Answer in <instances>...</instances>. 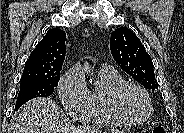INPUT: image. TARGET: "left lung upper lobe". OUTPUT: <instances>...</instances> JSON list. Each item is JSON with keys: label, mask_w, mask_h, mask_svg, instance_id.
Returning <instances> with one entry per match:
<instances>
[{"label": "left lung upper lobe", "mask_w": 184, "mask_h": 133, "mask_svg": "<svg viewBox=\"0 0 184 133\" xmlns=\"http://www.w3.org/2000/svg\"><path fill=\"white\" fill-rule=\"evenodd\" d=\"M110 49L122 70L146 89L154 92L158 90L152 59L133 31L121 27L112 32Z\"/></svg>", "instance_id": "5c2ea615"}]
</instances>
